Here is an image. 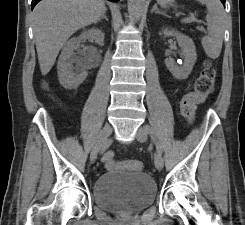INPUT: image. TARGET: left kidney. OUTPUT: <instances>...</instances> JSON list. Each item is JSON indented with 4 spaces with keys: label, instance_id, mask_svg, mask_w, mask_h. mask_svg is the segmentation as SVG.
<instances>
[{
    "label": "left kidney",
    "instance_id": "1",
    "mask_svg": "<svg viewBox=\"0 0 245 225\" xmlns=\"http://www.w3.org/2000/svg\"><path fill=\"white\" fill-rule=\"evenodd\" d=\"M162 33L165 37H176L178 45L182 50L181 55L184 58V63L180 67L175 65L173 59L167 58L165 59L166 67L175 78L179 80L187 79L197 60L196 47L193 40L189 36L175 30L164 29Z\"/></svg>",
    "mask_w": 245,
    "mask_h": 225
}]
</instances>
